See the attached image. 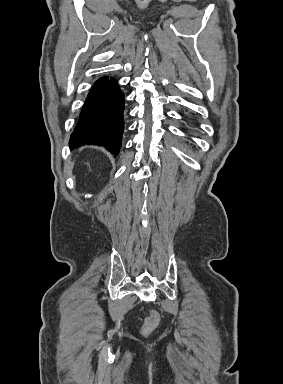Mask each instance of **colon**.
<instances>
[{"mask_svg": "<svg viewBox=\"0 0 283 384\" xmlns=\"http://www.w3.org/2000/svg\"><path fill=\"white\" fill-rule=\"evenodd\" d=\"M160 323V315L156 311H151L149 316L145 319L142 332L145 335L153 332Z\"/></svg>", "mask_w": 283, "mask_h": 384, "instance_id": "colon-1", "label": "colon"}]
</instances>
